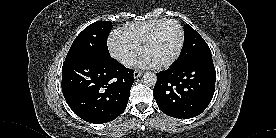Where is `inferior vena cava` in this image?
Segmentation results:
<instances>
[{
    "mask_svg": "<svg viewBox=\"0 0 276 138\" xmlns=\"http://www.w3.org/2000/svg\"><path fill=\"white\" fill-rule=\"evenodd\" d=\"M121 63L125 66V67H132L136 64V60L134 58H123Z\"/></svg>",
    "mask_w": 276,
    "mask_h": 138,
    "instance_id": "1",
    "label": "inferior vena cava"
}]
</instances>
